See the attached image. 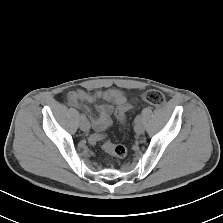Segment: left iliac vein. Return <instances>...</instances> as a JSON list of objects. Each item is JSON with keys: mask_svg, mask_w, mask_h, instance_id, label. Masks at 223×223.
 <instances>
[{"mask_svg": "<svg viewBox=\"0 0 223 223\" xmlns=\"http://www.w3.org/2000/svg\"><path fill=\"white\" fill-rule=\"evenodd\" d=\"M134 130L137 135H142L144 133V126L141 122H137L134 126Z\"/></svg>", "mask_w": 223, "mask_h": 223, "instance_id": "1", "label": "left iliac vein"}]
</instances>
